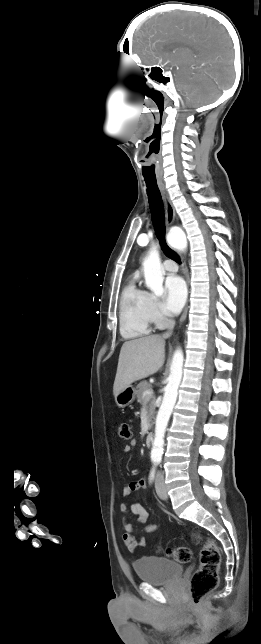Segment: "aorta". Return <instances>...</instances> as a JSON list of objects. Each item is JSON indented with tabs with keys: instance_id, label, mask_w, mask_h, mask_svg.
<instances>
[{
	"instance_id": "762f6f07",
	"label": "aorta",
	"mask_w": 261,
	"mask_h": 644,
	"mask_svg": "<svg viewBox=\"0 0 261 644\" xmlns=\"http://www.w3.org/2000/svg\"><path fill=\"white\" fill-rule=\"evenodd\" d=\"M168 240L172 245H182L186 243V237L183 232L170 230ZM145 285L154 295L162 296L164 293V269L161 266L160 255L156 247H152L148 256L143 261ZM183 352L177 349L172 358L170 366V375L168 384L165 388L162 404L159 408L156 424L155 436L151 449V458L158 459L162 457L164 437L170 415L176 403L178 388L182 379Z\"/></svg>"
}]
</instances>
